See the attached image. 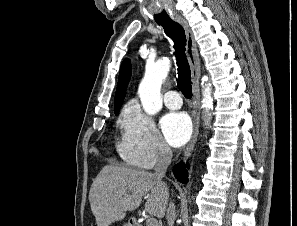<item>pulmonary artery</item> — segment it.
<instances>
[{"instance_id":"1","label":"pulmonary artery","mask_w":297,"mask_h":226,"mask_svg":"<svg viewBox=\"0 0 297 226\" xmlns=\"http://www.w3.org/2000/svg\"><path fill=\"white\" fill-rule=\"evenodd\" d=\"M164 103L170 109H179L182 105V100L176 91H168L164 95Z\"/></svg>"}]
</instances>
